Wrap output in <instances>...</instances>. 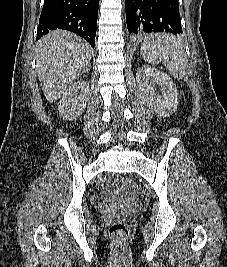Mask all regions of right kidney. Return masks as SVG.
<instances>
[{
	"mask_svg": "<svg viewBox=\"0 0 227 267\" xmlns=\"http://www.w3.org/2000/svg\"><path fill=\"white\" fill-rule=\"evenodd\" d=\"M89 83L80 79L67 89L59 101V114L64 120L79 117L89 101Z\"/></svg>",
	"mask_w": 227,
	"mask_h": 267,
	"instance_id": "1",
	"label": "right kidney"
}]
</instances>
